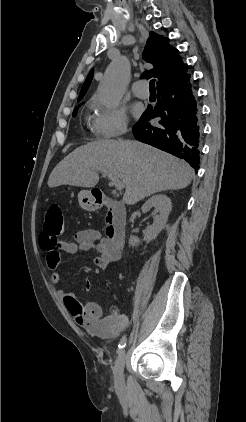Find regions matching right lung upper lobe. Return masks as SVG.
<instances>
[{
  "label": "right lung upper lobe",
  "instance_id": "right-lung-upper-lobe-1",
  "mask_svg": "<svg viewBox=\"0 0 246 422\" xmlns=\"http://www.w3.org/2000/svg\"><path fill=\"white\" fill-rule=\"evenodd\" d=\"M178 53L176 48L169 45L168 38L150 32L143 57L147 62L153 64L154 68L145 71L142 77H156L158 79L157 89L186 77L188 75L187 65L179 57ZM92 77L93 70L90 71L82 86L78 101L83 98L88 90Z\"/></svg>",
  "mask_w": 246,
  "mask_h": 422
}]
</instances>
